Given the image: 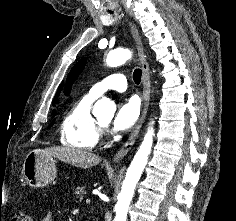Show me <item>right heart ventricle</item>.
I'll use <instances>...</instances> for the list:
<instances>
[{
    "label": "right heart ventricle",
    "instance_id": "obj_1",
    "mask_svg": "<svg viewBox=\"0 0 236 221\" xmlns=\"http://www.w3.org/2000/svg\"><path fill=\"white\" fill-rule=\"evenodd\" d=\"M94 97L82 96L73 103L60 125V142L68 148L93 149L99 139L100 130L91 113Z\"/></svg>",
    "mask_w": 236,
    "mask_h": 221
}]
</instances>
